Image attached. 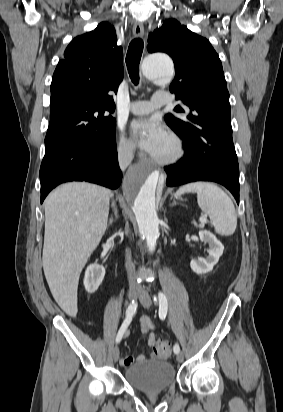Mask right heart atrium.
Wrapping results in <instances>:
<instances>
[{
	"label": "right heart atrium",
	"mask_w": 283,
	"mask_h": 412,
	"mask_svg": "<svg viewBox=\"0 0 283 412\" xmlns=\"http://www.w3.org/2000/svg\"><path fill=\"white\" fill-rule=\"evenodd\" d=\"M117 153L120 158L130 160L136 152V146L133 141L120 134L117 140Z\"/></svg>",
	"instance_id": "right-heart-atrium-1"
}]
</instances>
